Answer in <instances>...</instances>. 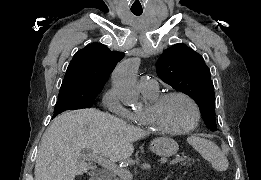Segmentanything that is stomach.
Returning a JSON list of instances; mask_svg holds the SVG:
<instances>
[{
	"label": "stomach",
	"instance_id": "obj_1",
	"mask_svg": "<svg viewBox=\"0 0 261 180\" xmlns=\"http://www.w3.org/2000/svg\"><path fill=\"white\" fill-rule=\"evenodd\" d=\"M150 150L158 156L170 157L178 152L179 145L172 138L160 137L151 142Z\"/></svg>",
	"mask_w": 261,
	"mask_h": 180
}]
</instances>
